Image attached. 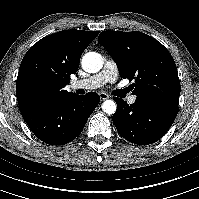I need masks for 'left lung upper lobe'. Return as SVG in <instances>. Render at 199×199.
Listing matches in <instances>:
<instances>
[{
    "label": "left lung upper lobe",
    "mask_w": 199,
    "mask_h": 199,
    "mask_svg": "<svg viewBox=\"0 0 199 199\" xmlns=\"http://www.w3.org/2000/svg\"><path fill=\"white\" fill-rule=\"evenodd\" d=\"M99 43L116 62L122 78L135 80L138 98L178 107L180 81L169 51L144 33L103 31Z\"/></svg>",
    "instance_id": "left-lung-upper-lobe-1"
}]
</instances>
